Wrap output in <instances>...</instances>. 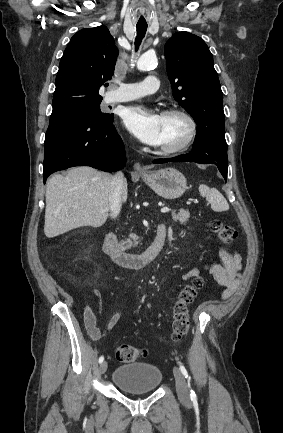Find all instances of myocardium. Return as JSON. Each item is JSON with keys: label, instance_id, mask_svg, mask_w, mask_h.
<instances>
[{"label": "myocardium", "instance_id": "f54148a6", "mask_svg": "<svg viewBox=\"0 0 283 433\" xmlns=\"http://www.w3.org/2000/svg\"><path fill=\"white\" fill-rule=\"evenodd\" d=\"M162 115H178L186 120L188 123V134L186 138L175 148L161 151L164 157H176L185 153L193 144L198 133V122L195 117L183 108L170 107L163 111Z\"/></svg>", "mask_w": 283, "mask_h": 433}]
</instances>
